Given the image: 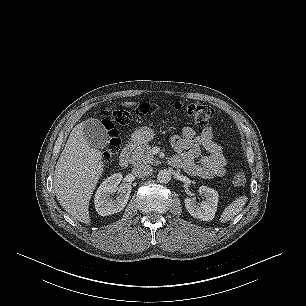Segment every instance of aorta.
Segmentation results:
<instances>
[{
    "label": "aorta",
    "instance_id": "1",
    "mask_svg": "<svg viewBox=\"0 0 306 306\" xmlns=\"http://www.w3.org/2000/svg\"><path fill=\"white\" fill-rule=\"evenodd\" d=\"M157 179L160 183H168L171 180V173L166 169L160 170Z\"/></svg>",
    "mask_w": 306,
    "mask_h": 306
}]
</instances>
